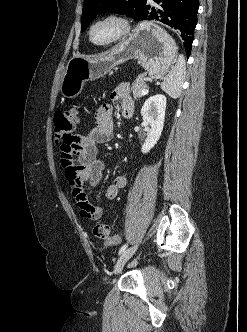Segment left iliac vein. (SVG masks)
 Masks as SVG:
<instances>
[{
	"label": "left iliac vein",
	"instance_id": "left-iliac-vein-1",
	"mask_svg": "<svg viewBox=\"0 0 247 332\" xmlns=\"http://www.w3.org/2000/svg\"><path fill=\"white\" fill-rule=\"evenodd\" d=\"M137 248H138V245L129 247L120 255V257L115 265V268H114V274H118L122 270L125 263L132 257V255L135 253Z\"/></svg>",
	"mask_w": 247,
	"mask_h": 332
}]
</instances>
